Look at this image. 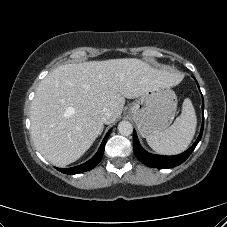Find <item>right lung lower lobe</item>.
<instances>
[{
  "mask_svg": "<svg viewBox=\"0 0 227 227\" xmlns=\"http://www.w3.org/2000/svg\"><path fill=\"white\" fill-rule=\"evenodd\" d=\"M111 130L108 131V133L106 134V136L104 137L97 153L87 162H85L82 165L79 166H75L72 168H65V169H61V168H57V170H59L62 173L68 174V175H72V174H78V173H82L88 170H91L92 168H94L102 159L103 153H104V149H105V144L107 141V138L110 134Z\"/></svg>",
  "mask_w": 227,
  "mask_h": 227,
  "instance_id": "obj_1",
  "label": "right lung lower lobe"
}]
</instances>
